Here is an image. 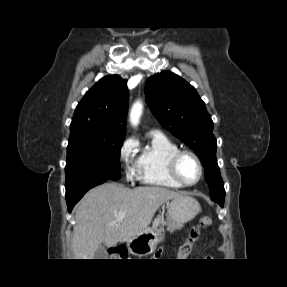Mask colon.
Segmentation results:
<instances>
[{
  "instance_id": "5ec220e1",
  "label": "colon",
  "mask_w": 287,
  "mask_h": 287,
  "mask_svg": "<svg viewBox=\"0 0 287 287\" xmlns=\"http://www.w3.org/2000/svg\"><path fill=\"white\" fill-rule=\"evenodd\" d=\"M212 224V220L207 215H202L198 223L195 227L191 230L188 239L182 243L178 249V256L181 259L188 258L193 250L194 244L201 238L202 233L208 229ZM112 254L116 257H125L126 256V249L122 246L115 248Z\"/></svg>"
}]
</instances>
